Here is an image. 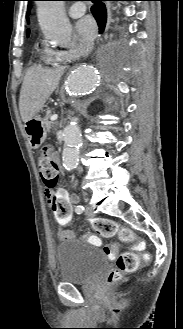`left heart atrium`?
Returning a JSON list of instances; mask_svg holds the SVG:
<instances>
[{
  "instance_id": "obj_1",
  "label": "left heart atrium",
  "mask_w": 183,
  "mask_h": 329,
  "mask_svg": "<svg viewBox=\"0 0 183 329\" xmlns=\"http://www.w3.org/2000/svg\"><path fill=\"white\" fill-rule=\"evenodd\" d=\"M77 31L84 40H92L97 31L95 20L90 16L83 17L77 24Z\"/></svg>"
}]
</instances>
